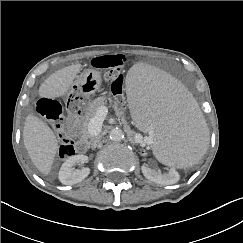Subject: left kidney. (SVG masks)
Listing matches in <instances>:
<instances>
[{"label": "left kidney", "mask_w": 243, "mask_h": 243, "mask_svg": "<svg viewBox=\"0 0 243 243\" xmlns=\"http://www.w3.org/2000/svg\"><path fill=\"white\" fill-rule=\"evenodd\" d=\"M141 170L143 175L160 185H172L179 181L180 176L176 170L169 169L165 174H162L159 170L149 167L148 165H142Z\"/></svg>", "instance_id": "1"}]
</instances>
